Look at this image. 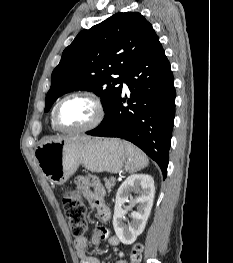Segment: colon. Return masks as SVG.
Masks as SVG:
<instances>
[{
  "label": "colon",
  "instance_id": "obj_1",
  "mask_svg": "<svg viewBox=\"0 0 233 263\" xmlns=\"http://www.w3.org/2000/svg\"><path fill=\"white\" fill-rule=\"evenodd\" d=\"M63 210L71 228V233L75 238H81L87 229L86 209L77 191L69 190L65 192L62 199ZM144 246L135 243L130 252L131 263H140L142 260Z\"/></svg>",
  "mask_w": 233,
  "mask_h": 263
}]
</instances>
